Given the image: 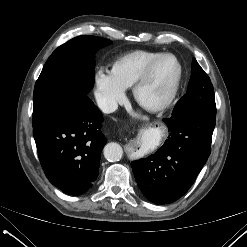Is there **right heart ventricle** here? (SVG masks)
Returning <instances> with one entry per match:
<instances>
[{"mask_svg":"<svg viewBox=\"0 0 247 247\" xmlns=\"http://www.w3.org/2000/svg\"><path fill=\"white\" fill-rule=\"evenodd\" d=\"M161 53L136 50L119 57L111 67V74L123 88L134 85L146 66Z\"/></svg>","mask_w":247,"mask_h":247,"instance_id":"right-heart-ventricle-1","label":"right heart ventricle"}]
</instances>
